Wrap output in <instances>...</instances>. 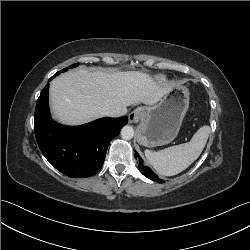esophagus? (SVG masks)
Returning <instances> with one entry per match:
<instances>
[{
    "instance_id": "obj_1",
    "label": "esophagus",
    "mask_w": 250,
    "mask_h": 250,
    "mask_svg": "<svg viewBox=\"0 0 250 250\" xmlns=\"http://www.w3.org/2000/svg\"><path fill=\"white\" fill-rule=\"evenodd\" d=\"M143 115H144V109L141 107L136 108L129 114V121L131 123H137L142 118Z\"/></svg>"
}]
</instances>
